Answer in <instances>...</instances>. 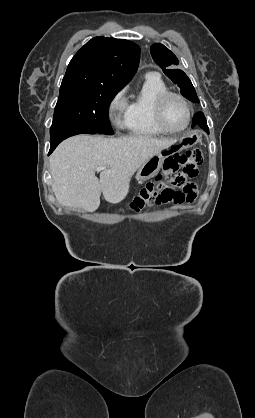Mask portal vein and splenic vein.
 I'll use <instances>...</instances> for the list:
<instances>
[{
    "instance_id": "obj_1",
    "label": "portal vein and splenic vein",
    "mask_w": 255,
    "mask_h": 418,
    "mask_svg": "<svg viewBox=\"0 0 255 418\" xmlns=\"http://www.w3.org/2000/svg\"><path fill=\"white\" fill-rule=\"evenodd\" d=\"M104 169H106V167H104V166H99V167H97L95 170H96V171H102V170H104Z\"/></svg>"
}]
</instances>
